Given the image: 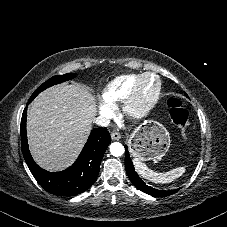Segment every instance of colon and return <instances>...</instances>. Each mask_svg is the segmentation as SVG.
<instances>
[{"label":"colon","mask_w":227,"mask_h":227,"mask_svg":"<svg viewBox=\"0 0 227 227\" xmlns=\"http://www.w3.org/2000/svg\"><path fill=\"white\" fill-rule=\"evenodd\" d=\"M168 105L170 107V117L173 123L181 129V131H186L190 117L188 109L183 106L182 101L177 97H170Z\"/></svg>","instance_id":"obj_1"}]
</instances>
